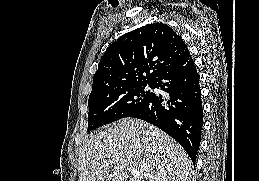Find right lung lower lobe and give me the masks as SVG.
Listing matches in <instances>:
<instances>
[{"label":"right lung lower lobe","mask_w":259,"mask_h":181,"mask_svg":"<svg viewBox=\"0 0 259 181\" xmlns=\"http://www.w3.org/2000/svg\"><path fill=\"white\" fill-rule=\"evenodd\" d=\"M169 94V99L152 94L130 117L147 121L174 138L193 162L200 146L203 110L199 75L190 54L161 72L152 82Z\"/></svg>","instance_id":"98d812e1"}]
</instances>
